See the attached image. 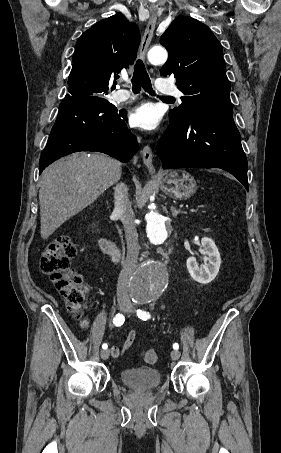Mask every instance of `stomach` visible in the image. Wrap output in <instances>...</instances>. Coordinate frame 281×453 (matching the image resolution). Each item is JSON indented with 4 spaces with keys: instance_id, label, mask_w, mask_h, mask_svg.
<instances>
[{
    "instance_id": "stomach-1",
    "label": "stomach",
    "mask_w": 281,
    "mask_h": 453,
    "mask_svg": "<svg viewBox=\"0 0 281 453\" xmlns=\"http://www.w3.org/2000/svg\"><path fill=\"white\" fill-rule=\"evenodd\" d=\"M161 178V188L171 198L185 200L197 190L196 180L186 170H164Z\"/></svg>"
}]
</instances>
